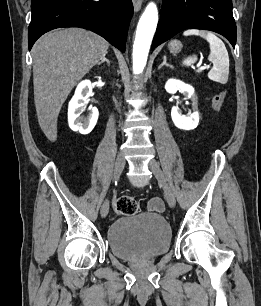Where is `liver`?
Returning a JSON list of instances; mask_svg holds the SVG:
<instances>
[{
    "instance_id": "obj_1",
    "label": "liver",
    "mask_w": 261,
    "mask_h": 306,
    "mask_svg": "<svg viewBox=\"0 0 261 306\" xmlns=\"http://www.w3.org/2000/svg\"><path fill=\"white\" fill-rule=\"evenodd\" d=\"M109 43L80 28L46 33L34 44V103L41 130L54 142L62 104L73 87L105 58Z\"/></svg>"
}]
</instances>
